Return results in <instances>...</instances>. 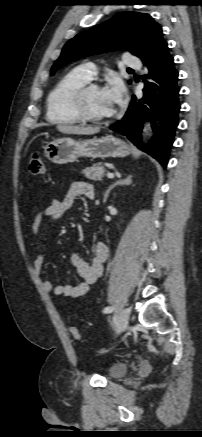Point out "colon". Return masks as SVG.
<instances>
[{
  "label": "colon",
  "mask_w": 202,
  "mask_h": 437,
  "mask_svg": "<svg viewBox=\"0 0 202 437\" xmlns=\"http://www.w3.org/2000/svg\"><path fill=\"white\" fill-rule=\"evenodd\" d=\"M28 168L30 173H32L33 175H42L44 173L45 164L42 156L39 153L34 152L31 154L28 163ZM69 333L75 339H80L81 337L78 328L75 326L69 327Z\"/></svg>",
  "instance_id": "1"
}]
</instances>
